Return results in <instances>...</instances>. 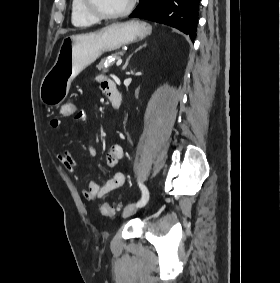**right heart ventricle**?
<instances>
[{"instance_id":"obj_1","label":"right heart ventricle","mask_w":280,"mask_h":283,"mask_svg":"<svg viewBox=\"0 0 280 283\" xmlns=\"http://www.w3.org/2000/svg\"><path fill=\"white\" fill-rule=\"evenodd\" d=\"M71 21L77 27H87L98 22L96 18L85 11L83 0H72Z\"/></svg>"}]
</instances>
